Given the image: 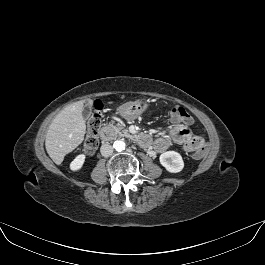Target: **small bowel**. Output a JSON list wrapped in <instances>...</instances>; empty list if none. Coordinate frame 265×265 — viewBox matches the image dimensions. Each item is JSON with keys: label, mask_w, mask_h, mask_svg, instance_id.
Listing matches in <instances>:
<instances>
[{"label": "small bowel", "mask_w": 265, "mask_h": 265, "mask_svg": "<svg viewBox=\"0 0 265 265\" xmlns=\"http://www.w3.org/2000/svg\"><path fill=\"white\" fill-rule=\"evenodd\" d=\"M174 124L169 134L163 135L152 143V147L157 152H164L172 144L181 145L186 152L204 151L205 139L202 136H193L190 129L177 119L170 117Z\"/></svg>", "instance_id": "obj_1"}]
</instances>
